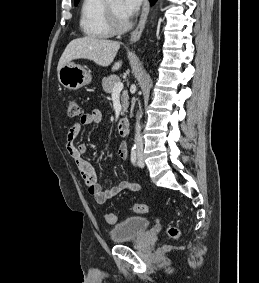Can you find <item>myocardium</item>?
<instances>
[{"label":"myocardium","mask_w":259,"mask_h":283,"mask_svg":"<svg viewBox=\"0 0 259 283\" xmlns=\"http://www.w3.org/2000/svg\"><path fill=\"white\" fill-rule=\"evenodd\" d=\"M106 13L110 27L115 33H122L130 27V22L126 18H121L113 7L110 5V1L106 0L105 4Z\"/></svg>","instance_id":"obj_1"}]
</instances>
